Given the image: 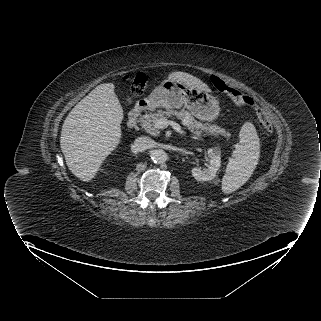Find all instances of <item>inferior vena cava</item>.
I'll return each mask as SVG.
<instances>
[{
  "label": "inferior vena cava",
  "mask_w": 321,
  "mask_h": 321,
  "mask_svg": "<svg viewBox=\"0 0 321 321\" xmlns=\"http://www.w3.org/2000/svg\"><path fill=\"white\" fill-rule=\"evenodd\" d=\"M154 145H155V141L153 139H151L150 137H145V136L138 137L134 141V146H135L136 150L139 152L150 149V148L154 147Z\"/></svg>",
  "instance_id": "obj_1"
}]
</instances>
